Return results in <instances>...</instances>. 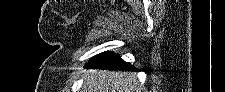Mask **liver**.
Wrapping results in <instances>:
<instances>
[{
	"label": "liver",
	"mask_w": 225,
	"mask_h": 92,
	"mask_svg": "<svg viewBox=\"0 0 225 92\" xmlns=\"http://www.w3.org/2000/svg\"><path fill=\"white\" fill-rule=\"evenodd\" d=\"M136 74L127 72L90 71L83 92H141Z\"/></svg>",
	"instance_id": "1"
}]
</instances>
